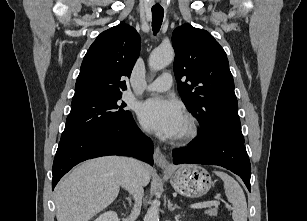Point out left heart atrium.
Wrapping results in <instances>:
<instances>
[{
	"label": "left heart atrium",
	"instance_id": "39dd6f15",
	"mask_svg": "<svg viewBox=\"0 0 307 221\" xmlns=\"http://www.w3.org/2000/svg\"><path fill=\"white\" fill-rule=\"evenodd\" d=\"M142 124L163 138L180 135L184 115L181 106L163 97H155L143 102L138 108Z\"/></svg>",
	"mask_w": 307,
	"mask_h": 221
}]
</instances>
